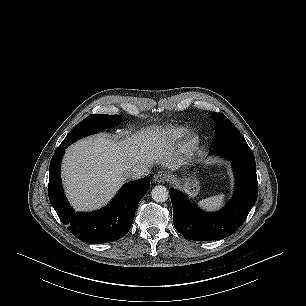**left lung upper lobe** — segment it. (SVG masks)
<instances>
[{"label": "left lung upper lobe", "instance_id": "obj_1", "mask_svg": "<svg viewBox=\"0 0 306 306\" xmlns=\"http://www.w3.org/2000/svg\"><path fill=\"white\" fill-rule=\"evenodd\" d=\"M212 116L216 125L214 148L231 143H246L241 133L226 116L221 113H213Z\"/></svg>", "mask_w": 306, "mask_h": 306}]
</instances>
